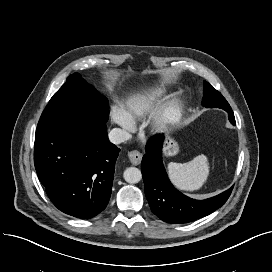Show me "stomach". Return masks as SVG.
<instances>
[{"mask_svg":"<svg viewBox=\"0 0 272 272\" xmlns=\"http://www.w3.org/2000/svg\"><path fill=\"white\" fill-rule=\"evenodd\" d=\"M179 146L178 143L171 137H167L164 145V155L166 157L174 156L178 153Z\"/></svg>","mask_w":272,"mask_h":272,"instance_id":"obj_1","label":"stomach"}]
</instances>
